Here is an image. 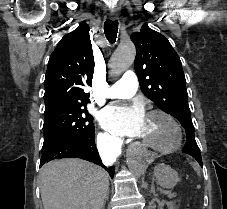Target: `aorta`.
<instances>
[{
  "mask_svg": "<svg viewBox=\"0 0 227 209\" xmlns=\"http://www.w3.org/2000/svg\"><path fill=\"white\" fill-rule=\"evenodd\" d=\"M136 50L132 43L121 44L110 59L112 74H120L127 70L134 62ZM127 165L129 170L137 177L146 170V153L143 147L134 145L127 152Z\"/></svg>",
  "mask_w": 227,
  "mask_h": 209,
  "instance_id": "obj_1",
  "label": "aorta"
}]
</instances>
